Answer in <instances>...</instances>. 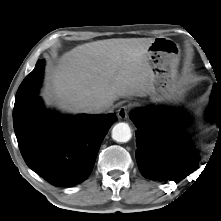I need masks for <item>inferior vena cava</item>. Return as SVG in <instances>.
Here are the masks:
<instances>
[{
    "label": "inferior vena cava",
    "instance_id": "obj_1",
    "mask_svg": "<svg viewBox=\"0 0 221 221\" xmlns=\"http://www.w3.org/2000/svg\"><path fill=\"white\" fill-rule=\"evenodd\" d=\"M110 108V104L104 101L94 102L85 107V112L99 114Z\"/></svg>",
    "mask_w": 221,
    "mask_h": 221
}]
</instances>
